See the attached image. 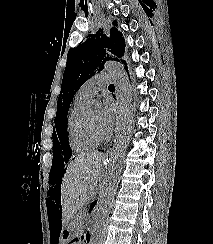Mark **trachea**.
<instances>
[{
  "label": "trachea",
  "instance_id": "obj_1",
  "mask_svg": "<svg viewBox=\"0 0 213 244\" xmlns=\"http://www.w3.org/2000/svg\"><path fill=\"white\" fill-rule=\"evenodd\" d=\"M109 88H114V85H109Z\"/></svg>",
  "mask_w": 213,
  "mask_h": 244
}]
</instances>
